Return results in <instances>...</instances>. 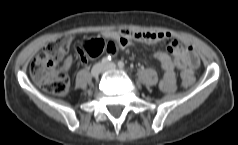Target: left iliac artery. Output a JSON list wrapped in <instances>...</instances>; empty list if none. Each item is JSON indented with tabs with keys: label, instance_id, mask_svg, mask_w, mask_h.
<instances>
[{
	"label": "left iliac artery",
	"instance_id": "obj_1",
	"mask_svg": "<svg viewBox=\"0 0 238 145\" xmlns=\"http://www.w3.org/2000/svg\"><path fill=\"white\" fill-rule=\"evenodd\" d=\"M118 66H119V68H124V67H125V64H124L123 61H119V62H118Z\"/></svg>",
	"mask_w": 238,
	"mask_h": 145
}]
</instances>
